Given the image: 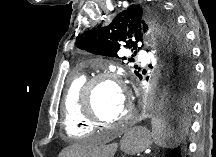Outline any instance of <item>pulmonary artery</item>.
Instances as JSON below:
<instances>
[{
    "instance_id": "e3ab8cb5",
    "label": "pulmonary artery",
    "mask_w": 216,
    "mask_h": 157,
    "mask_svg": "<svg viewBox=\"0 0 216 157\" xmlns=\"http://www.w3.org/2000/svg\"><path fill=\"white\" fill-rule=\"evenodd\" d=\"M139 57L144 60V59H147L148 54L145 51H140Z\"/></svg>"
}]
</instances>
